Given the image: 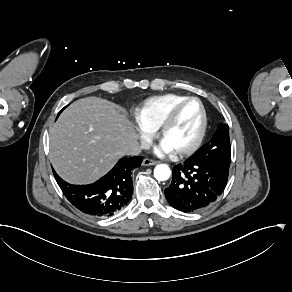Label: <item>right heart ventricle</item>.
<instances>
[{"label":"right heart ventricle","mask_w":292,"mask_h":292,"mask_svg":"<svg viewBox=\"0 0 292 292\" xmlns=\"http://www.w3.org/2000/svg\"><path fill=\"white\" fill-rule=\"evenodd\" d=\"M185 98L187 96L177 93H165L153 96L134 107L132 113L137 122L142 126L157 129L169 109Z\"/></svg>","instance_id":"e07e8e85"}]
</instances>
